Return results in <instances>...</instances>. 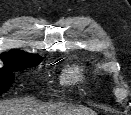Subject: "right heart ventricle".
Segmentation results:
<instances>
[{
    "label": "right heart ventricle",
    "mask_w": 131,
    "mask_h": 115,
    "mask_svg": "<svg viewBox=\"0 0 131 115\" xmlns=\"http://www.w3.org/2000/svg\"><path fill=\"white\" fill-rule=\"evenodd\" d=\"M84 80V72L81 68L72 67L65 73L64 81L67 84L81 83Z\"/></svg>",
    "instance_id": "obj_1"
}]
</instances>
